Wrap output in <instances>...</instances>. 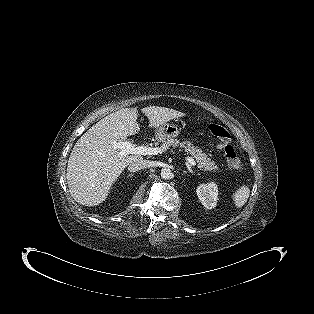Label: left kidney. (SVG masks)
I'll return each mask as SVG.
<instances>
[{
    "label": "left kidney",
    "mask_w": 314,
    "mask_h": 314,
    "mask_svg": "<svg viewBox=\"0 0 314 314\" xmlns=\"http://www.w3.org/2000/svg\"><path fill=\"white\" fill-rule=\"evenodd\" d=\"M197 196L202 205L207 209L215 208L217 205L218 187L214 182L200 184L197 189Z\"/></svg>",
    "instance_id": "5707ae66"
}]
</instances>
